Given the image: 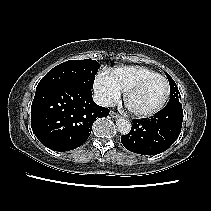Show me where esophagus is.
<instances>
[{
  "instance_id": "1",
  "label": "esophagus",
  "mask_w": 211,
  "mask_h": 211,
  "mask_svg": "<svg viewBox=\"0 0 211 211\" xmlns=\"http://www.w3.org/2000/svg\"><path fill=\"white\" fill-rule=\"evenodd\" d=\"M110 115H111L112 118H119V117H120V115L117 114V113L114 112V111H111V112H110Z\"/></svg>"
}]
</instances>
